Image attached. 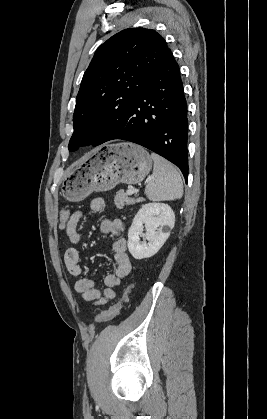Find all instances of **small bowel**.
<instances>
[{"mask_svg": "<svg viewBox=\"0 0 267 419\" xmlns=\"http://www.w3.org/2000/svg\"><path fill=\"white\" fill-rule=\"evenodd\" d=\"M105 208L106 202L103 198H94L90 203V209L93 213L102 212ZM81 218V211L73 212L65 228L66 234L73 244H77L81 240V235L77 230ZM124 230V223L120 219H103L100 223V231L114 238L112 251L116 264L115 270L105 276V288L103 290L97 288L92 279L84 276L78 249L71 246L66 250L64 255L66 268L72 276L76 277L74 288L85 301L104 305L114 299L116 296L115 288L130 273L131 263L127 255V243L123 237Z\"/></svg>", "mask_w": 267, "mask_h": 419, "instance_id": "1", "label": "small bowel"}]
</instances>
